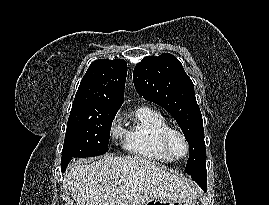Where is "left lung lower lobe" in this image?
Listing matches in <instances>:
<instances>
[{"mask_svg":"<svg viewBox=\"0 0 269 205\" xmlns=\"http://www.w3.org/2000/svg\"><path fill=\"white\" fill-rule=\"evenodd\" d=\"M191 178L204 190L207 189V173L206 167H202L197 171L193 172Z\"/></svg>","mask_w":269,"mask_h":205,"instance_id":"left-lung-lower-lobe-1","label":"left lung lower lobe"}]
</instances>
